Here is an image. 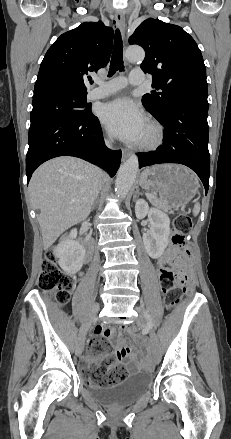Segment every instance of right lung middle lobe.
Wrapping results in <instances>:
<instances>
[{
	"mask_svg": "<svg viewBox=\"0 0 231 439\" xmlns=\"http://www.w3.org/2000/svg\"><path fill=\"white\" fill-rule=\"evenodd\" d=\"M86 94L50 93L33 98L31 126L62 116H89Z\"/></svg>",
	"mask_w": 231,
	"mask_h": 439,
	"instance_id": "right-lung-middle-lobe-1",
	"label": "right lung middle lobe"
}]
</instances>
